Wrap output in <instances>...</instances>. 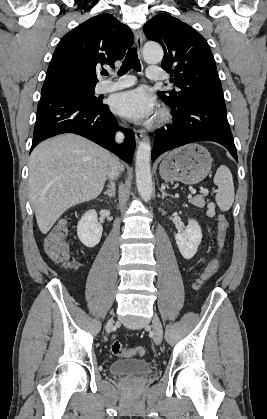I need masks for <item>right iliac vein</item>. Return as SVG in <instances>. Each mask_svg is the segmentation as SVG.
Masks as SVG:
<instances>
[{"label":"right iliac vein","instance_id":"right-iliac-vein-1","mask_svg":"<svg viewBox=\"0 0 267 419\" xmlns=\"http://www.w3.org/2000/svg\"><path fill=\"white\" fill-rule=\"evenodd\" d=\"M113 324H114L113 320L109 321L107 325L108 329H111L113 327Z\"/></svg>","mask_w":267,"mask_h":419}]
</instances>
